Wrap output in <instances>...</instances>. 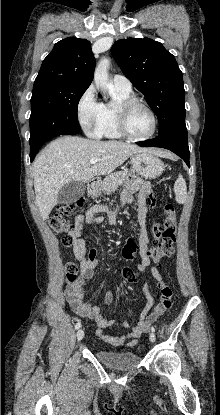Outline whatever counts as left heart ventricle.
Returning a JSON list of instances; mask_svg holds the SVG:
<instances>
[{
    "instance_id": "b2bd125f",
    "label": "left heart ventricle",
    "mask_w": 220,
    "mask_h": 415,
    "mask_svg": "<svg viewBox=\"0 0 220 415\" xmlns=\"http://www.w3.org/2000/svg\"><path fill=\"white\" fill-rule=\"evenodd\" d=\"M126 126L129 133L136 137H143L152 130V118L142 107L131 108L126 116Z\"/></svg>"
}]
</instances>
